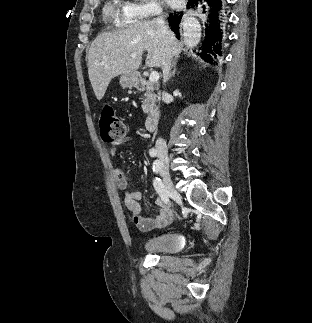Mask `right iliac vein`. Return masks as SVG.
<instances>
[{
	"mask_svg": "<svg viewBox=\"0 0 312 323\" xmlns=\"http://www.w3.org/2000/svg\"><path fill=\"white\" fill-rule=\"evenodd\" d=\"M160 175L163 179L164 185L169 193L170 196L174 197L177 200L181 199L180 194L177 192V190L174 188L170 172L167 165H161L159 168Z\"/></svg>",
	"mask_w": 312,
	"mask_h": 323,
	"instance_id": "63e3f726",
	"label": "right iliac vein"
}]
</instances>
